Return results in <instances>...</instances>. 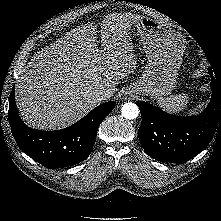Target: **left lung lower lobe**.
<instances>
[{"label":"left lung lower lobe","instance_id":"1","mask_svg":"<svg viewBox=\"0 0 221 221\" xmlns=\"http://www.w3.org/2000/svg\"><path fill=\"white\" fill-rule=\"evenodd\" d=\"M211 74V100L198 116L170 115L144 102L138 105L142 123L138 136L145 152L162 162L185 163L203 151L221 127V82Z\"/></svg>","mask_w":221,"mask_h":221}]
</instances>
